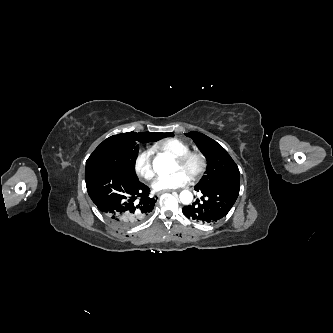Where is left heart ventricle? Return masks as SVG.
Segmentation results:
<instances>
[{
  "instance_id": "1",
  "label": "left heart ventricle",
  "mask_w": 333,
  "mask_h": 333,
  "mask_svg": "<svg viewBox=\"0 0 333 333\" xmlns=\"http://www.w3.org/2000/svg\"><path fill=\"white\" fill-rule=\"evenodd\" d=\"M198 168V162L196 160L191 161L188 165L182 167L178 163L176 164L177 170L184 171L188 176L193 174Z\"/></svg>"
}]
</instances>
